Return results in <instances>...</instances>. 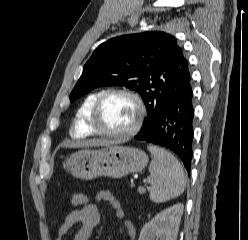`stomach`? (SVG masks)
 <instances>
[{"instance_id":"obj_1","label":"stomach","mask_w":248,"mask_h":240,"mask_svg":"<svg viewBox=\"0 0 248 240\" xmlns=\"http://www.w3.org/2000/svg\"><path fill=\"white\" fill-rule=\"evenodd\" d=\"M147 163L148 157L140 149L108 145L99 150L73 153L66 159L64 168L74 177L91 180L100 176L121 178L142 171Z\"/></svg>"}]
</instances>
